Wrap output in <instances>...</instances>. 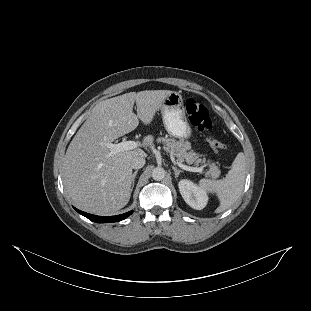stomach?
<instances>
[{"mask_svg":"<svg viewBox=\"0 0 311 311\" xmlns=\"http://www.w3.org/2000/svg\"><path fill=\"white\" fill-rule=\"evenodd\" d=\"M162 121L167 133L174 138L188 140L192 135V128L187 121L184 101L181 93L173 91L160 107Z\"/></svg>","mask_w":311,"mask_h":311,"instance_id":"1","label":"stomach"}]
</instances>
